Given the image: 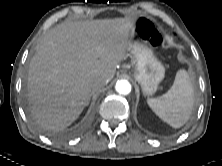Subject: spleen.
<instances>
[{"mask_svg":"<svg viewBox=\"0 0 222 166\" xmlns=\"http://www.w3.org/2000/svg\"><path fill=\"white\" fill-rule=\"evenodd\" d=\"M193 92L188 73L179 70L171 88L160 97L147 99V104L161 120L173 128H180L191 115Z\"/></svg>","mask_w":222,"mask_h":166,"instance_id":"obj_1","label":"spleen"}]
</instances>
